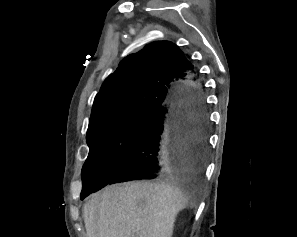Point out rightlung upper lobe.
Instances as JSON below:
<instances>
[{
  "mask_svg": "<svg viewBox=\"0 0 297 237\" xmlns=\"http://www.w3.org/2000/svg\"><path fill=\"white\" fill-rule=\"evenodd\" d=\"M193 65L173 43L154 42L124 58L104 81L92 107L89 127L116 116L154 112L172 90L192 80Z\"/></svg>",
  "mask_w": 297,
  "mask_h": 237,
  "instance_id": "1",
  "label": "right lung upper lobe"
}]
</instances>
